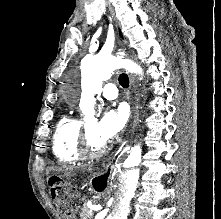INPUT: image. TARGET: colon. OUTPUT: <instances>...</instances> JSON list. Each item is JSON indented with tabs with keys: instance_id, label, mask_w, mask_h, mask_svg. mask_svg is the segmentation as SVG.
Segmentation results:
<instances>
[{
	"instance_id": "obj_1",
	"label": "colon",
	"mask_w": 221,
	"mask_h": 219,
	"mask_svg": "<svg viewBox=\"0 0 221 219\" xmlns=\"http://www.w3.org/2000/svg\"><path fill=\"white\" fill-rule=\"evenodd\" d=\"M52 190L57 193L60 196H65L66 201H69V209L70 212L73 211V208L75 206V193L73 191H70L66 183L64 182H52Z\"/></svg>"
}]
</instances>
